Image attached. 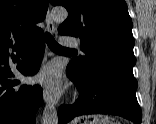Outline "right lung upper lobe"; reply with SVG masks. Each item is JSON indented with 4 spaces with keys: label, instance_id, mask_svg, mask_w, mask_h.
Here are the masks:
<instances>
[{
    "label": "right lung upper lobe",
    "instance_id": "obj_1",
    "mask_svg": "<svg viewBox=\"0 0 156 124\" xmlns=\"http://www.w3.org/2000/svg\"><path fill=\"white\" fill-rule=\"evenodd\" d=\"M49 0H0V47L21 45L42 30L35 24L45 19Z\"/></svg>",
    "mask_w": 156,
    "mask_h": 124
}]
</instances>
